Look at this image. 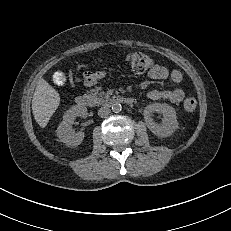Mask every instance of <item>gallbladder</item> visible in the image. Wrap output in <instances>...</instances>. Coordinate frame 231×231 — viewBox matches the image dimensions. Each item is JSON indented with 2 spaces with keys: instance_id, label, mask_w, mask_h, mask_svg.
<instances>
[{
  "instance_id": "bac80fb5",
  "label": "gallbladder",
  "mask_w": 231,
  "mask_h": 231,
  "mask_svg": "<svg viewBox=\"0 0 231 231\" xmlns=\"http://www.w3.org/2000/svg\"><path fill=\"white\" fill-rule=\"evenodd\" d=\"M53 81H54V83L57 84V85H62V84H64L65 81H66V76H65V74L62 73V72H57V73H55L54 76H53Z\"/></svg>"
}]
</instances>
